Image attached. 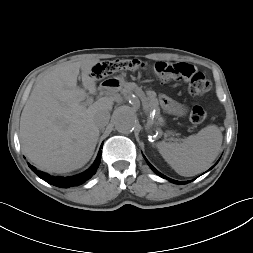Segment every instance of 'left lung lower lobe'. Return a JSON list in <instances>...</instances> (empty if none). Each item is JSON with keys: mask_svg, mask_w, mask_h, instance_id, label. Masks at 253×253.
<instances>
[{"mask_svg": "<svg viewBox=\"0 0 253 253\" xmlns=\"http://www.w3.org/2000/svg\"><path fill=\"white\" fill-rule=\"evenodd\" d=\"M148 164H149V166L152 168V170H153L157 175H159L160 177H162V178H164V179H167V180H169V181H171V182H173V183H175V184H181V185L189 183V181H176V180L170 179V178L164 176L163 174H161L160 172H158L149 162H148Z\"/></svg>", "mask_w": 253, "mask_h": 253, "instance_id": "0a47b994", "label": "left lung lower lobe"}]
</instances>
